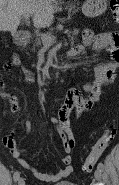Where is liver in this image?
<instances>
[{"instance_id":"6515ba94","label":"liver","mask_w":119,"mask_h":185,"mask_svg":"<svg viewBox=\"0 0 119 185\" xmlns=\"http://www.w3.org/2000/svg\"><path fill=\"white\" fill-rule=\"evenodd\" d=\"M54 0H0V31L16 32L21 17L33 14L37 28L49 27L53 21Z\"/></svg>"}]
</instances>
